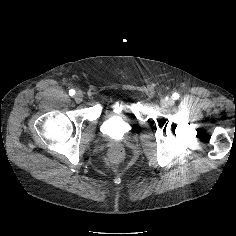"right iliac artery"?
I'll use <instances>...</instances> for the list:
<instances>
[{
	"instance_id": "right-iliac-artery-1",
	"label": "right iliac artery",
	"mask_w": 236,
	"mask_h": 236,
	"mask_svg": "<svg viewBox=\"0 0 236 236\" xmlns=\"http://www.w3.org/2000/svg\"><path fill=\"white\" fill-rule=\"evenodd\" d=\"M74 94H75V90L74 89L69 90V95L70 96H73Z\"/></svg>"
}]
</instances>
